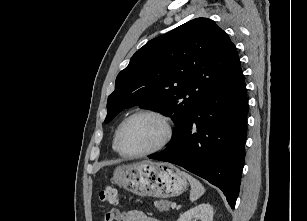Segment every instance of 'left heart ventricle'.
<instances>
[{
  "instance_id": "obj_1",
  "label": "left heart ventricle",
  "mask_w": 307,
  "mask_h": 221,
  "mask_svg": "<svg viewBox=\"0 0 307 221\" xmlns=\"http://www.w3.org/2000/svg\"><path fill=\"white\" fill-rule=\"evenodd\" d=\"M164 134L162 123L152 116H139L126 127L122 136V148L135 154L145 152L159 143Z\"/></svg>"
}]
</instances>
